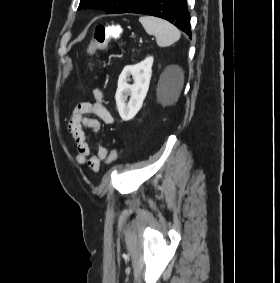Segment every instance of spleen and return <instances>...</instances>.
<instances>
[{"label":"spleen","mask_w":280,"mask_h":283,"mask_svg":"<svg viewBox=\"0 0 280 283\" xmlns=\"http://www.w3.org/2000/svg\"><path fill=\"white\" fill-rule=\"evenodd\" d=\"M146 33L154 35L159 47H167L180 39V31L171 23L164 19L152 16H143L139 18ZM180 87L183 82V74L180 76Z\"/></svg>","instance_id":"3e777b00"}]
</instances>
